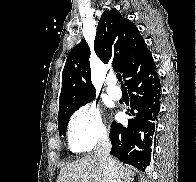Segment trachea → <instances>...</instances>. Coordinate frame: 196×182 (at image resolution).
I'll use <instances>...</instances> for the list:
<instances>
[{"instance_id": "3493384b", "label": "trachea", "mask_w": 196, "mask_h": 182, "mask_svg": "<svg viewBox=\"0 0 196 182\" xmlns=\"http://www.w3.org/2000/svg\"><path fill=\"white\" fill-rule=\"evenodd\" d=\"M116 77H117L118 81L121 82V84L123 85L121 74L117 73Z\"/></svg>"}]
</instances>
